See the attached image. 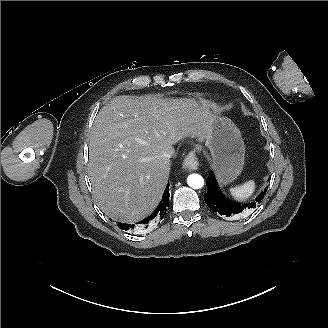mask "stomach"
Returning <instances> with one entry per match:
<instances>
[{
    "label": "stomach",
    "mask_w": 328,
    "mask_h": 328,
    "mask_svg": "<svg viewBox=\"0 0 328 328\" xmlns=\"http://www.w3.org/2000/svg\"><path fill=\"white\" fill-rule=\"evenodd\" d=\"M205 147L210 150L221 184L233 181L240 174L244 164V143L239 129L230 119L210 112Z\"/></svg>",
    "instance_id": "obj_1"
}]
</instances>
